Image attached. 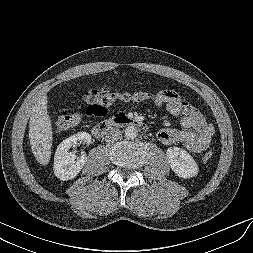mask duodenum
<instances>
[{"instance_id":"obj_1","label":"duodenum","mask_w":253,"mask_h":253,"mask_svg":"<svg viewBox=\"0 0 253 253\" xmlns=\"http://www.w3.org/2000/svg\"><path fill=\"white\" fill-rule=\"evenodd\" d=\"M115 126H132L144 131L148 130V125L144 121L137 118L128 117L125 114H117L112 118L101 121L93 126L92 134L97 138H103Z\"/></svg>"}]
</instances>
